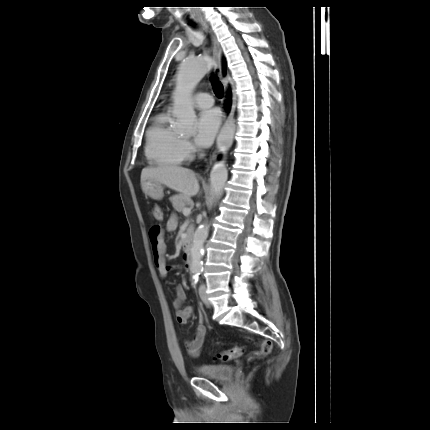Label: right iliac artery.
<instances>
[{
	"label": "right iliac artery",
	"instance_id": "right-iliac-artery-1",
	"mask_svg": "<svg viewBox=\"0 0 430 430\" xmlns=\"http://www.w3.org/2000/svg\"><path fill=\"white\" fill-rule=\"evenodd\" d=\"M199 275H200V273H195L194 275H193V283H192V285H196V283L198 282V280H199Z\"/></svg>",
	"mask_w": 430,
	"mask_h": 430
}]
</instances>
